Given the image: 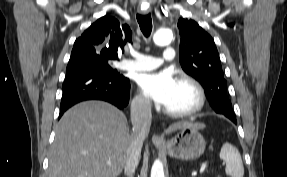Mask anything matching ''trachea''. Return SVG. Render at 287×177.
Segmentation results:
<instances>
[{
	"mask_svg": "<svg viewBox=\"0 0 287 177\" xmlns=\"http://www.w3.org/2000/svg\"><path fill=\"white\" fill-rule=\"evenodd\" d=\"M137 21L139 23L140 29L145 37H149L152 31V19L150 14L148 15H137Z\"/></svg>",
	"mask_w": 287,
	"mask_h": 177,
	"instance_id": "3493384b",
	"label": "trachea"
}]
</instances>
